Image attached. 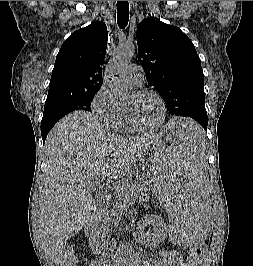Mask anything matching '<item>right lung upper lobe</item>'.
Instances as JSON below:
<instances>
[{
    "label": "right lung upper lobe",
    "mask_w": 253,
    "mask_h": 266,
    "mask_svg": "<svg viewBox=\"0 0 253 266\" xmlns=\"http://www.w3.org/2000/svg\"><path fill=\"white\" fill-rule=\"evenodd\" d=\"M107 39V27L99 21L71 34L57 54L48 94L100 89Z\"/></svg>",
    "instance_id": "1"
}]
</instances>
